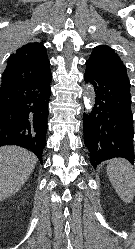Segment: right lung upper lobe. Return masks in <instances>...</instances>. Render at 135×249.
Returning <instances> with one entry per match:
<instances>
[{
	"mask_svg": "<svg viewBox=\"0 0 135 249\" xmlns=\"http://www.w3.org/2000/svg\"><path fill=\"white\" fill-rule=\"evenodd\" d=\"M50 75V62L43 43L31 42L10 55L1 85L28 82Z\"/></svg>",
	"mask_w": 135,
	"mask_h": 249,
	"instance_id": "right-lung-upper-lobe-1",
	"label": "right lung upper lobe"
}]
</instances>
